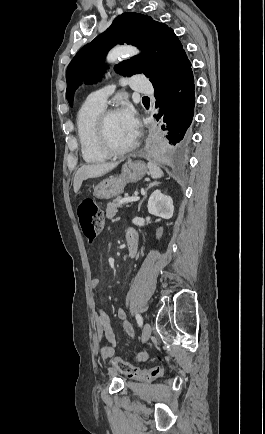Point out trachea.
<instances>
[{
    "label": "trachea",
    "mask_w": 265,
    "mask_h": 434,
    "mask_svg": "<svg viewBox=\"0 0 265 434\" xmlns=\"http://www.w3.org/2000/svg\"><path fill=\"white\" fill-rule=\"evenodd\" d=\"M143 99H147V100H149V98H148V97H143Z\"/></svg>",
    "instance_id": "obj_1"
}]
</instances>
